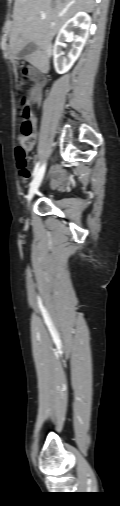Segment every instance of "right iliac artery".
I'll return each mask as SVG.
<instances>
[{
    "instance_id": "right-iliac-artery-1",
    "label": "right iliac artery",
    "mask_w": 120,
    "mask_h": 506,
    "mask_svg": "<svg viewBox=\"0 0 120 506\" xmlns=\"http://www.w3.org/2000/svg\"><path fill=\"white\" fill-rule=\"evenodd\" d=\"M40 163L38 162L35 166V169L33 171V177H36V176H43V173L45 171V165H43L41 168L39 167ZM42 170V171H41Z\"/></svg>"
}]
</instances>
